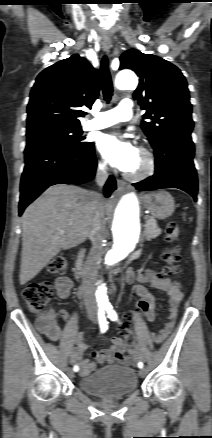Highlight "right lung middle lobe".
Segmentation results:
<instances>
[{"mask_svg":"<svg viewBox=\"0 0 212 438\" xmlns=\"http://www.w3.org/2000/svg\"><path fill=\"white\" fill-rule=\"evenodd\" d=\"M27 144L35 142L55 143L66 147H85L81 127L63 125H44L28 129L26 132Z\"/></svg>","mask_w":212,"mask_h":438,"instance_id":"obj_1","label":"right lung middle lobe"}]
</instances>
